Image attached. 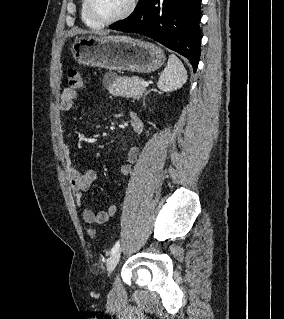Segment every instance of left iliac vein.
I'll list each match as a JSON object with an SVG mask.
<instances>
[{
	"label": "left iliac vein",
	"mask_w": 284,
	"mask_h": 319,
	"mask_svg": "<svg viewBox=\"0 0 284 319\" xmlns=\"http://www.w3.org/2000/svg\"><path fill=\"white\" fill-rule=\"evenodd\" d=\"M120 255H121V250H118L117 252L112 254L110 256V258L108 259V261H107V271H108L109 275L112 273V271L115 269L116 265L118 264L119 259H120Z\"/></svg>",
	"instance_id": "1"
}]
</instances>
